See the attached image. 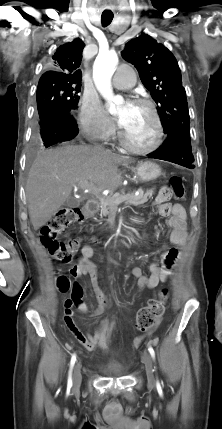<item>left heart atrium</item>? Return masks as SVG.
<instances>
[{
    "label": "left heart atrium",
    "mask_w": 222,
    "mask_h": 429,
    "mask_svg": "<svg viewBox=\"0 0 222 429\" xmlns=\"http://www.w3.org/2000/svg\"><path fill=\"white\" fill-rule=\"evenodd\" d=\"M132 106H133V103L130 101H127L124 105V113L118 116L117 121L121 127H123L126 119V114L131 110Z\"/></svg>",
    "instance_id": "left-heart-atrium-1"
}]
</instances>
